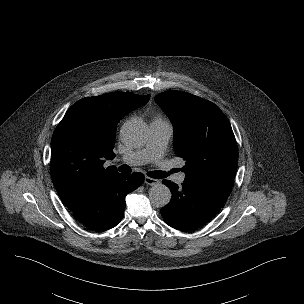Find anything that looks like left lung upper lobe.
<instances>
[{"mask_svg": "<svg viewBox=\"0 0 304 304\" xmlns=\"http://www.w3.org/2000/svg\"><path fill=\"white\" fill-rule=\"evenodd\" d=\"M155 101L173 123L174 150L186 160L184 183L228 198L238 149L224 113L214 103L187 92H163Z\"/></svg>", "mask_w": 304, "mask_h": 304, "instance_id": "5c2ea615", "label": "left lung upper lobe"}]
</instances>
